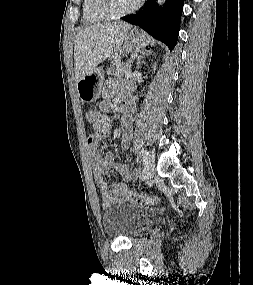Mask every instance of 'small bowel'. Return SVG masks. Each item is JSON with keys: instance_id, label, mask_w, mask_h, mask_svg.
Returning <instances> with one entry per match:
<instances>
[{"instance_id": "1", "label": "small bowel", "mask_w": 253, "mask_h": 285, "mask_svg": "<svg viewBox=\"0 0 253 285\" xmlns=\"http://www.w3.org/2000/svg\"><path fill=\"white\" fill-rule=\"evenodd\" d=\"M129 92L130 87L124 85L118 79H109L106 81L102 90L105 99L100 102L99 111H96V118L92 122L94 133L87 140L88 147L91 150L90 156L94 180L102 198L103 208L105 209L128 201L126 195L129 190L126 184L136 180V174L130 172L128 165L120 164L115 166V170L122 176L124 183H107L103 175L112 165V154L108 152L100 153L97 150L100 141L107 138L110 133L109 114L113 109L111 102L113 97H117L123 108L121 149L126 151L129 148L132 138V105L128 99Z\"/></svg>"}]
</instances>
